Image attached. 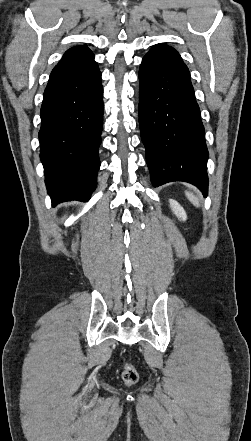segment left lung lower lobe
<instances>
[{"label":"left lung lower lobe","mask_w":251,"mask_h":441,"mask_svg":"<svg viewBox=\"0 0 251 441\" xmlns=\"http://www.w3.org/2000/svg\"><path fill=\"white\" fill-rule=\"evenodd\" d=\"M141 138L154 187L185 181L208 192V150L190 72L179 53L157 44L142 59Z\"/></svg>","instance_id":"1"}]
</instances>
